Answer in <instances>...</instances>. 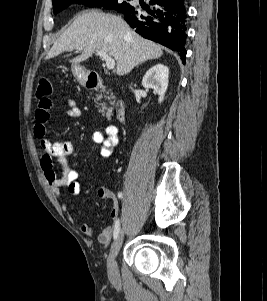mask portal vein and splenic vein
Returning <instances> with one entry per match:
<instances>
[{
	"instance_id": "1",
	"label": "portal vein and splenic vein",
	"mask_w": 267,
	"mask_h": 301,
	"mask_svg": "<svg viewBox=\"0 0 267 301\" xmlns=\"http://www.w3.org/2000/svg\"><path fill=\"white\" fill-rule=\"evenodd\" d=\"M97 55H99V57L105 61L107 69L109 70L114 69L115 61L107 53L103 51H97Z\"/></svg>"
}]
</instances>
